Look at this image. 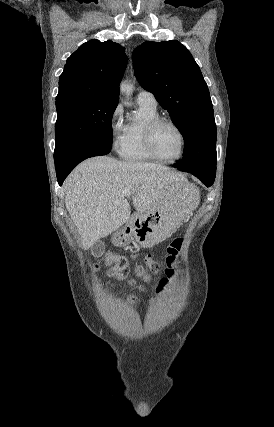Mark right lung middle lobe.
<instances>
[{
  "mask_svg": "<svg viewBox=\"0 0 274 427\" xmlns=\"http://www.w3.org/2000/svg\"><path fill=\"white\" fill-rule=\"evenodd\" d=\"M119 98H91L56 106L55 167L66 166L89 150L112 146V115Z\"/></svg>",
  "mask_w": 274,
  "mask_h": 427,
  "instance_id": "dd1d6c3e",
  "label": "right lung middle lobe"
}]
</instances>
